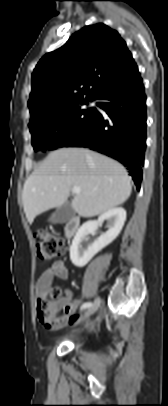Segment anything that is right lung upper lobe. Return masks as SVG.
Wrapping results in <instances>:
<instances>
[{
	"label": "right lung upper lobe",
	"instance_id": "right-lung-upper-lobe-1",
	"mask_svg": "<svg viewBox=\"0 0 168 406\" xmlns=\"http://www.w3.org/2000/svg\"><path fill=\"white\" fill-rule=\"evenodd\" d=\"M137 72L116 30L102 23L85 26L62 47L44 55L34 69L30 123L83 101L84 95L96 99Z\"/></svg>",
	"mask_w": 168,
	"mask_h": 406
}]
</instances>
